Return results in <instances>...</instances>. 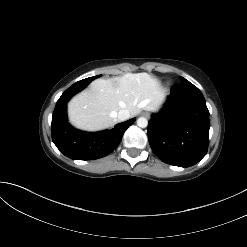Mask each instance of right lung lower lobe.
<instances>
[{"instance_id": "98d812e1", "label": "right lung lower lobe", "mask_w": 247, "mask_h": 247, "mask_svg": "<svg viewBox=\"0 0 247 247\" xmlns=\"http://www.w3.org/2000/svg\"><path fill=\"white\" fill-rule=\"evenodd\" d=\"M88 84L76 82L56 103L51 123L52 140L67 157L75 160H94L111 153L120 143L126 129L135 118L117 124L113 129L101 132H83L73 128L67 120V102Z\"/></svg>"}]
</instances>
